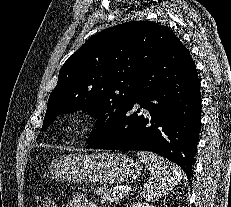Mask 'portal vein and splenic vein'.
Returning a JSON list of instances; mask_svg holds the SVG:
<instances>
[{
  "mask_svg": "<svg viewBox=\"0 0 231 207\" xmlns=\"http://www.w3.org/2000/svg\"><path fill=\"white\" fill-rule=\"evenodd\" d=\"M118 196H119L120 198L124 197V196H125V192H124V191H120V192L118 193Z\"/></svg>",
  "mask_w": 231,
  "mask_h": 207,
  "instance_id": "portal-vein-and-splenic-vein-1",
  "label": "portal vein and splenic vein"
}]
</instances>
